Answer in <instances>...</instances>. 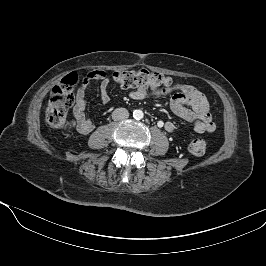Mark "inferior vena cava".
I'll return each instance as SVG.
<instances>
[{
	"mask_svg": "<svg viewBox=\"0 0 266 266\" xmlns=\"http://www.w3.org/2000/svg\"><path fill=\"white\" fill-rule=\"evenodd\" d=\"M129 117V112L125 108H117L112 113V119L114 121L125 120Z\"/></svg>",
	"mask_w": 266,
	"mask_h": 266,
	"instance_id": "obj_1",
	"label": "inferior vena cava"
}]
</instances>
